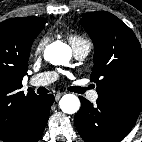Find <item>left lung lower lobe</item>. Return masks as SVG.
Masks as SVG:
<instances>
[{
    "mask_svg": "<svg viewBox=\"0 0 142 142\" xmlns=\"http://www.w3.org/2000/svg\"><path fill=\"white\" fill-rule=\"evenodd\" d=\"M75 126L86 142H120L133 128L137 117L121 112L99 98L93 105L80 97Z\"/></svg>",
    "mask_w": 142,
    "mask_h": 142,
    "instance_id": "left-lung-lower-lobe-1",
    "label": "left lung lower lobe"
}]
</instances>
